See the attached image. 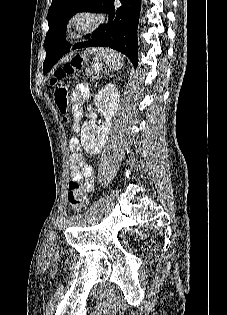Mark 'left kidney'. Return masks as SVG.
I'll list each match as a JSON object with an SVG mask.
<instances>
[{"label":"left kidney","instance_id":"obj_1","mask_svg":"<svg viewBox=\"0 0 227 315\" xmlns=\"http://www.w3.org/2000/svg\"><path fill=\"white\" fill-rule=\"evenodd\" d=\"M120 93L112 83L105 85L95 96L94 104L104 116L105 122L95 126L85 121L81 129V144L91 154H98L103 148L111 130V121L118 110Z\"/></svg>","mask_w":227,"mask_h":315}]
</instances>
